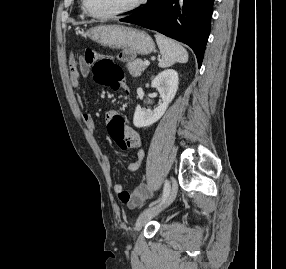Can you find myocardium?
I'll use <instances>...</instances> for the list:
<instances>
[{
    "instance_id": "f54148a6",
    "label": "myocardium",
    "mask_w": 286,
    "mask_h": 269,
    "mask_svg": "<svg viewBox=\"0 0 286 269\" xmlns=\"http://www.w3.org/2000/svg\"><path fill=\"white\" fill-rule=\"evenodd\" d=\"M146 2L147 0H134L129 6L123 9H120L118 11L108 13V14L93 13L88 6V0H83L82 4H83V10L88 16L95 18V19L106 20V19H112V18H116L122 15L132 13L136 11L137 9H139L141 6H143Z\"/></svg>"
}]
</instances>
